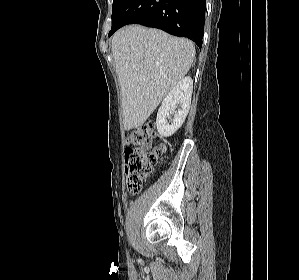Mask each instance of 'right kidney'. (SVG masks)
<instances>
[{
	"label": "right kidney",
	"instance_id": "1",
	"mask_svg": "<svg viewBox=\"0 0 299 280\" xmlns=\"http://www.w3.org/2000/svg\"><path fill=\"white\" fill-rule=\"evenodd\" d=\"M193 80L187 76L182 78L176 86L166 95L157 113L156 126L163 137L172 136L184 123L189 112ZM174 114L169 124L167 118Z\"/></svg>",
	"mask_w": 299,
	"mask_h": 280
}]
</instances>
